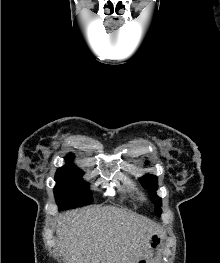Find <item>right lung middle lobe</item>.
<instances>
[{"label": "right lung middle lobe", "instance_id": "obj_1", "mask_svg": "<svg viewBox=\"0 0 220 263\" xmlns=\"http://www.w3.org/2000/svg\"><path fill=\"white\" fill-rule=\"evenodd\" d=\"M73 155H68L69 161ZM83 172L76 166L67 164L60 167L55 175L57 182L54 188L59 210L70 209L92 203L88 186L82 181Z\"/></svg>", "mask_w": 220, "mask_h": 263}]
</instances>
